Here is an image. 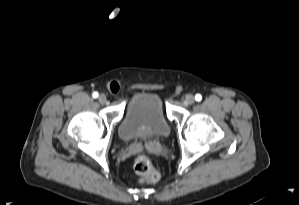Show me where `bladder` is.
<instances>
[{
  "instance_id": "1",
  "label": "bladder",
  "mask_w": 299,
  "mask_h": 205,
  "mask_svg": "<svg viewBox=\"0 0 299 205\" xmlns=\"http://www.w3.org/2000/svg\"><path fill=\"white\" fill-rule=\"evenodd\" d=\"M124 141L149 142L165 139L170 134L161 99L154 93H140L129 102L119 125Z\"/></svg>"
}]
</instances>
